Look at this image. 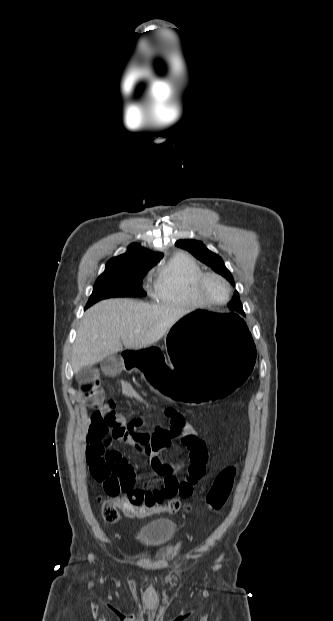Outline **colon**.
I'll return each mask as SVG.
<instances>
[{
	"instance_id": "5ec220e1",
	"label": "colon",
	"mask_w": 333,
	"mask_h": 621,
	"mask_svg": "<svg viewBox=\"0 0 333 621\" xmlns=\"http://www.w3.org/2000/svg\"><path fill=\"white\" fill-rule=\"evenodd\" d=\"M92 476L102 485L106 494V498H100V501L102 517L108 523L117 522L121 512L127 516L144 517L162 511L176 513L182 507L178 499H171L167 504L155 503L133 508L123 497H120L121 492L132 490L136 484L134 468L128 462L122 469L108 462H101L93 471ZM235 477L236 467L234 465L227 466L217 475L206 496L209 511L216 512L226 504Z\"/></svg>"
}]
</instances>
